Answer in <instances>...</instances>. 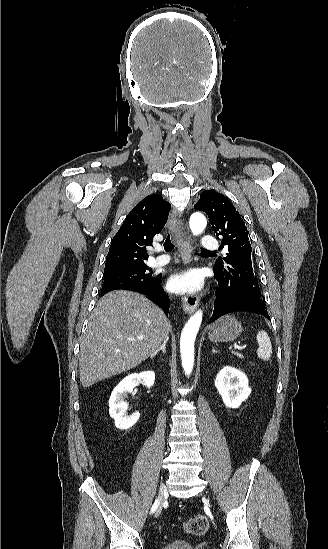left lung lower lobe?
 <instances>
[{
	"mask_svg": "<svg viewBox=\"0 0 328 549\" xmlns=\"http://www.w3.org/2000/svg\"><path fill=\"white\" fill-rule=\"evenodd\" d=\"M218 280L214 310L209 322L237 311H247L264 315L270 319L261 298L256 295V289L245 284L226 282L215 274Z\"/></svg>",
	"mask_w": 328,
	"mask_h": 549,
	"instance_id": "left-lung-lower-lobe-1",
	"label": "left lung lower lobe"
}]
</instances>
